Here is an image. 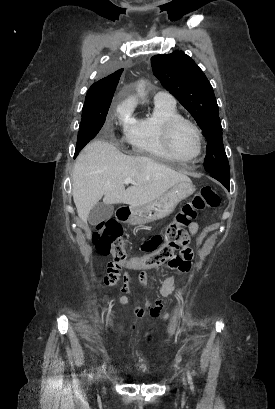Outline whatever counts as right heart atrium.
<instances>
[{
	"label": "right heart atrium",
	"mask_w": 275,
	"mask_h": 409,
	"mask_svg": "<svg viewBox=\"0 0 275 409\" xmlns=\"http://www.w3.org/2000/svg\"><path fill=\"white\" fill-rule=\"evenodd\" d=\"M133 105L131 103L123 104L116 110L115 117L119 125H121L126 133L130 130L135 122L132 117Z\"/></svg>",
	"instance_id": "right-heart-atrium-1"
}]
</instances>
